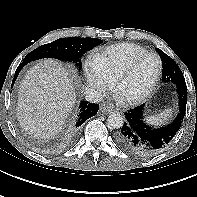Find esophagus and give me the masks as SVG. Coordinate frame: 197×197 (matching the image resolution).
Instances as JSON below:
<instances>
[{
	"mask_svg": "<svg viewBox=\"0 0 197 197\" xmlns=\"http://www.w3.org/2000/svg\"><path fill=\"white\" fill-rule=\"evenodd\" d=\"M100 110H101L102 113L108 114V113H111L114 109H113V107L110 106V105L103 104V105L100 107Z\"/></svg>",
	"mask_w": 197,
	"mask_h": 197,
	"instance_id": "34e87169",
	"label": "esophagus"
}]
</instances>
